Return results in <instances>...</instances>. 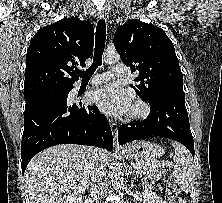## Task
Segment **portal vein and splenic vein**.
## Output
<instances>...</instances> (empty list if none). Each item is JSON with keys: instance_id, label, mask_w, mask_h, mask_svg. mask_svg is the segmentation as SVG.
Masks as SVG:
<instances>
[{"instance_id": "18ae733b", "label": "portal vein and splenic vein", "mask_w": 222, "mask_h": 203, "mask_svg": "<svg viewBox=\"0 0 222 203\" xmlns=\"http://www.w3.org/2000/svg\"><path fill=\"white\" fill-rule=\"evenodd\" d=\"M140 164L139 163H137V164H135V167H138ZM165 165H168V166H171V167H173V164L172 163H166Z\"/></svg>"}]
</instances>
